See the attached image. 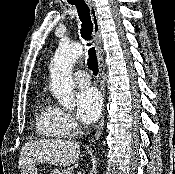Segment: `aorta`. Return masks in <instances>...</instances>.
<instances>
[{"label": "aorta", "instance_id": "obj_1", "mask_svg": "<svg viewBox=\"0 0 175 174\" xmlns=\"http://www.w3.org/2000/svg\"><path fill=\"white\" fill-rule=\"evenodd\" d=\"M83 45L60 43L50 65L51 90L55 98L66 108L75 107L72 82V66L83 54Z\"/></svg>", "mask_w": 175, "mask_h": 174}]
</instances>
